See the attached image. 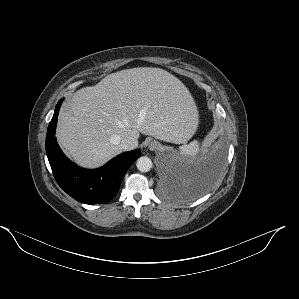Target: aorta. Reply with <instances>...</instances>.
Listing matches in <instances>:
<instances>
[{"mask_svg": "<svg viewBox=\"0 0 299 299\" xmlns=\"http://www.w3.org/2000/svg\"><path fill=\"white\" fill-rule=\"evenodd\" d=\"M136 166L139 171L148 172L152 168V161L150 158L142 156L137 159Z\"/></svg>", "mask_w": 299, "mask_h": 299, "instance_id": "1", "label": "aorta"}]
</instances>
